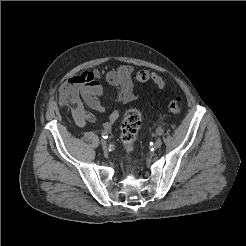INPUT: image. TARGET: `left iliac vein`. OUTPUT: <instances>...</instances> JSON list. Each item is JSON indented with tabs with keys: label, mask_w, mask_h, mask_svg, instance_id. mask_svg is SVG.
Instances as JSON below:
<instances>
[{
	"label": "left iliac vein",
	"mask_w": 246,
	"mask_h": 246,
	"mask_svg": "<svg viewBox=\"0 0 246 246\" xmlns=\"http://www.w3.org/2000/svg\"><path fill=\"white\" fill-rule=\"evenodd\" d=\"M161 145H162V140H161V138L156 139V141H155V143H154V148H155V149H158V148L161 147Z\"/></svg>",
	"instance_id": "1"
}]
</instances>
